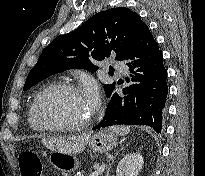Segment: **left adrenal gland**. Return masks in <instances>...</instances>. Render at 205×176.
<instances>
[{"mask_svg":"<svg viewBox=\"0 0 205 176\" xmlns=\"http://www.w3.org/2000/svg\"><path fill=\"white\" fill-rule=\"evenodd\" d=\"M124 149V147H121L119 151H122ZM119 152L116 153L115 157L112 159V162L111 164L109 165L108 169H107V173L105 176H109V173H110V170H111V167H112V164L114 162V160L116 159L117 155H118Z\"/></svg>","mask_w":205,"mask_h":176,"instance_id":"1","label":"left adrenal gland"}]
</instances>
